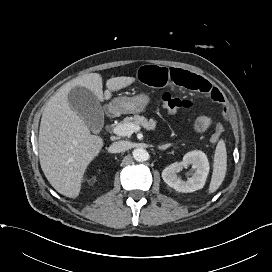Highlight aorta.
I'll list each match as a JSON object with an SVG mask.
<instances>
[{
    "mask_svg": "<svg viewBox=\"0 0 272 272\" xmlns=\"http://www.w3.org/2000/svg\"><path fill=\"white\" fill-rule=\"evenodd\" d=\"M133 158L138 162H143L148 159V152L143 148H137L133 151Z\"/></svg>",
    "mask_w": 272,
    "mask_h": 272,
    "instance_id": "762f6f07",
    "label": "aorta"
}]
</instances>
